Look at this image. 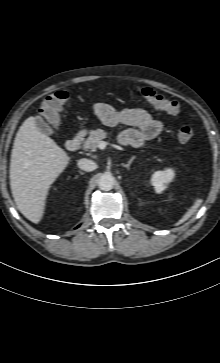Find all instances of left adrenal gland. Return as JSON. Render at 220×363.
Masks as SVG:
<instances>
[{
  "instance_id": "left-adrenal-gland-1",
  "label": "left adrenal gland",
  "mask_w": 220,
  "mask_h": 363,
  "mask_svg": "<svg viewBox=\"0 0 220 363\" xmlns=\"http://www.w3.org/2000/svg\"><path fill=\"white\" fill-rule=\"evenodd\" d=\"M136 157L135 156H133L129 161H128V163L127 164H123V167H125V168H127V169H129L130 168V166H131V164H132V162H133V160L135 159Z\"/></svg>"
}]
</instances>
